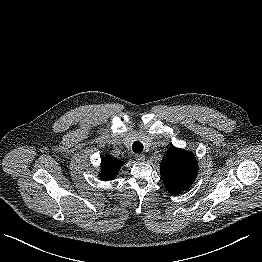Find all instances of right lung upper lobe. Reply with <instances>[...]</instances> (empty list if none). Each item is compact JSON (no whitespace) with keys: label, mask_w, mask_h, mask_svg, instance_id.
Listing matches in <instances>:
<instances>
[{"label":"right lung upper lobe","mask_w":262,"mask_h":262,"mask_svg":"<svg viewBox=\"0 0 262 262\" xmlns=\"http://www.w3.org/2000/svg\"><path fill=\"white\" fill-rule=\"evenodd\" d=\"M123 165V162L120 160H115L110 156H104L101 160V169L100 178L102 180H112L116 176L117 172Z\"/></svg>","instance_id":"right-lung-upper-lobe-1"}]
</instances>
